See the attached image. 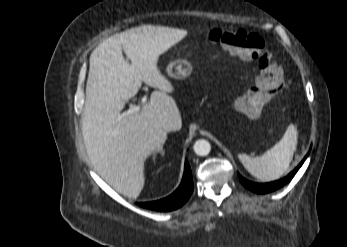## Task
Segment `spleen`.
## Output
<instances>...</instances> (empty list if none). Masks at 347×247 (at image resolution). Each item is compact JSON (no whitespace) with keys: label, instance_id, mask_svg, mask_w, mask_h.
Segmentation results:
<instances>
[{"label":"spleen","instance_id":"1","mask_svg":"<svg viewBox=\"0 0 347 247\" xmlns=\"http://www.w3.org/2000/svg\"><path fill=\"white\" fill-rule=\"evenodd\" d=\"M297 126L290 124L282 139L260 157L239 154L244 168L261 181L278 179L289 168L297 148Z\"/></svg>","mask_w":347,"mask_h":247}]
</instances>
